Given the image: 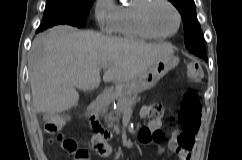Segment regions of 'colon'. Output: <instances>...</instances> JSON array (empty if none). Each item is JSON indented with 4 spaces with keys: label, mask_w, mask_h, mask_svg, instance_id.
<instances>
[{
    "label": "colon",
    "mask_w": 242,
    "mask_h": 160,
    "mask_svg": "<svg viewBox=\"0 0 242 160\" xmlns=\"http://www.w3.org/2000/svg\"><path fill=\"white\" fill-rule=\"evenodd\" d=\"M186 76L192 81H199L202 77L201 65L197 62H191L186 68ZM160 111L151 113L154 119L160 117ZM201 104L198 98V93L195 90H188L184 93L181 101V108L178 115V121L181 126V132L177 136L179 141L186 142L183 137L184 134L191 135L196 134L200 125ZM67 119L60 115H48L44 119V131L50 137V141L59 144L63 149L70 148L61 134V130L65 126ZM140 136L146 142H160L163 140L164 134L160 129L144 130L140 133ZM94 148L96 152L101 156H108L111 152L109 145L104 141H98L95 143ZM74 160H90L88 152L80 150L76 153Z\"/></svg>",
    "instance_id": "5ec220e1"
}]
</instances>
